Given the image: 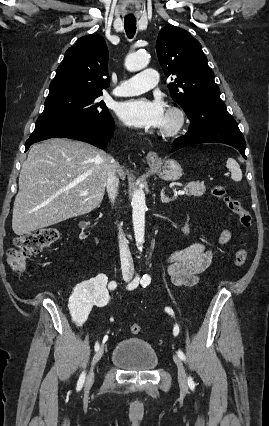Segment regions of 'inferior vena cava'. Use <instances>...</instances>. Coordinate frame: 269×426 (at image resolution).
<instances>
[{
  "mask_svg": "<svg viewBox=\"0 0 269 426\" xmlns=\"http://www.w3.org/2000/svg\"><path fill=\"white\" fill-rule=\"evenodd\" d=\"M119 165L112 160L111 169L108 174L107 179V193L109 196V199L111 203H114L115 198L118 194V187H119V178L117 176ZM119 249H120V259H121V268L123 275H133L134 267H133V260L132 256L128 247L127 239L125 238V235L122 232L121 226H119Z\"/></svg>",
  "mask_w": 269,
  "mask_h": 426,
  "instance_id": "602c4592",
  "label": "inferior vena cava"
}]
</instances>
